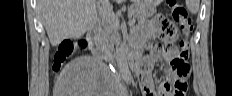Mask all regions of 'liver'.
<instances>
[{
	"label": "liver",
	"mask_w": 232,
	"mask_h": 96,
	"mask_svg": "<svg viewBox=\"0 0 232 96\" xmlns=\"http://www.w3.org/2000/svg\"><path fill=\"white\" fill-rule=\"evenodd\" d=\"M97 0H38L37 10L52 46L81 37L97 21Z\"/></svg>",
	"instance_id": "6515ba94"
}]
</instances>
